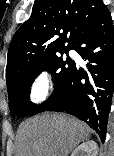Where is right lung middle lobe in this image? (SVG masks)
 Listing matches in <instances>:
<instances>
[{"label": "right lung middle lobe", "instance_id": "1", "mask_svg": "<svg viewBox=\"0 0 114 156\" xmlns=\"http://www.w3.org/2000/svg\"><path fill=\"white\" fill-rule=\"evenodd\" d=\"M65 53L68 54V51ZM67 58L68 60L63 61L59 56L52 57L37 67L18 75L8 87L10 111L19 117L32 116L45 111L59 96L75 66V62L69 59L68 55ZM45 70L54 76L55 89L48 100L40 105H35L30 102V87L35 78Z\"/></svg>", "mask_w": 114, "mask_h": 156}]
</instances>
